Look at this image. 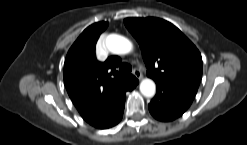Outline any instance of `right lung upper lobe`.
Instances as JSON below:
<instances>
[{"instance_id": "obj_1", "label": "right lung upper lobe", "mask_w": 247, "mask_h": 145, "mask_svg": "<svg viewBox=\"0 0 247 145\" xmlns=\"http://www.w3.org/2000/svg\"><path fill=\"white\" fill-rule=\"evenodd\" d=\"M108 26L98 22L86 28L69 49L64 64V83L75 107L92 126L116 115L122 106L124 91L135 79L120 76L117 56L99 62L95 47L100 34Z\"/></svg>"}]
</instances>
